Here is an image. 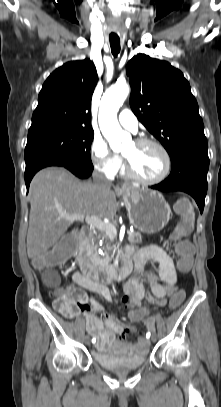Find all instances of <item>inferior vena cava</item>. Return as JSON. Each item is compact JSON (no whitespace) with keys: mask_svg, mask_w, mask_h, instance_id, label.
Segmentation results:
<instances>
[{"mask_svg":"<svg viewBox=\"0 0 221 407\" xmlns=\"http://www.w3.org/2000/svg\"><path fill=\"white\" fill-rule=\"evenodd\" d=\"M93 182L98 185L109 186L111 182L106 179V177L98 171L93 173Z\"/></svg>","mask_w":221,"mask_h":407,"instance_id":"obj_1","label":"inferior vena cava"}]
</instances>
